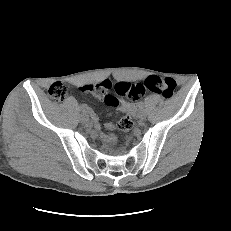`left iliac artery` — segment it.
Returning a JSON list of instances; mask_svg holds the SVG:
<instances>
[{"label": "left iliac artery", "instance_id": "1", "mask_svg": "<svg viewBox=\"0 0 231 231\" xmlns=\"http://www.w3.org/2000/svg\"><path fill=\"white\" fill-rule=\"evenodd\" d=\"M138 109L139 110H144L145 109V102L144 101H139L138 102Z\"/></svg>", "mask_w": 231, "mask_h": 231}]
</instances>
